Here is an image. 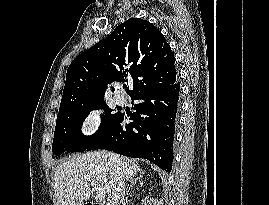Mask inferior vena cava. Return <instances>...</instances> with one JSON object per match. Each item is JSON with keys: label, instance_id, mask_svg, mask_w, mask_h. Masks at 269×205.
<instances>
[{"label": "inferior vena cava", "instance_id": "1", "mask_svg": "<svg viewBox=\"0 0 269 205\" xmlns=\"http://www.w3.org/2000/svg\"><path fill=\"white\" fill-rule=\"evenodd\" d=\"M125 178L121 172V169L117 171L116 179H115V185L108 195V201L106 205H120L124 202V196H125Z\"/></svg>", "mask_w": 269, "mask_h": 205}]
</instances>
